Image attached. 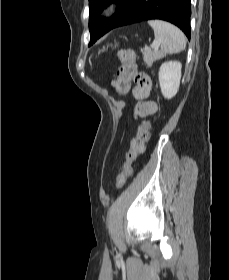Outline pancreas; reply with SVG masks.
Listing matches in <instances>:
<instances>
[{
    "instance_id": "1",
    "label": "pancreas",
    "mask_w": 229,
    "mask_h": 280,
    "mask_svg": "<svg viewBox=\"0 0 229 280\" xmlns=\"http://www.w3.org/2000/svg\"><path fill=\"white\" fill-rule=\"evenodd\" d=\"M163 55L156 50L144 49L143 50V60L150 67L153 62L160 59Z\"/></svg>"
}]
</instances>
